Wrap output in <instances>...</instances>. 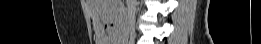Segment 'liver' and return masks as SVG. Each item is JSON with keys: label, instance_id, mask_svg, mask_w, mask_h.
Listing matches in <instances>:
<instances>
[{"label": "liver", "instance_id": "1", "mask_svg": "<svg viewBox=\"0 0 261 44\" xmlns=\"http://www.w3.org/2000/svg\"><path fill=\"white\" fill-rule=\"evenodd\" d=\"M87 5L95 24H133L129 14H118L126 13L122 0H87ZM125 28V25H95V30H98L97 44L126 42L123 36Z\"/></svg>", "mask_w": 261, "mask_h": 44}]
</instances>
